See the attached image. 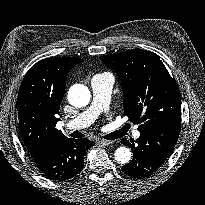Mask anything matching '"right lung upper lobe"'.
Returning <instances> with one entry per match:
<instances>
[{
    "mask_svg": "<svg viewBox=\"0 0 205 205\" xmlns=\"http://www.w3.org/2000/svg\"><path fill=\"white\" fill-rule=\"evenodd\" d=\"M82 61L75 57L45 59L33 65L24 77L16 108L19 134L29 152L66 139L56 129L60 104L69 71Z\"/></svg>",
    "mask_w": 205,
    "mask_h": 205,
    "instance_id": "1",
    "label": "right lung upper lobe"
}]
</instances>
